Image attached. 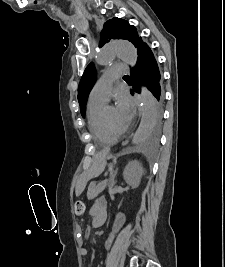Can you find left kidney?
Here are the masks:
<instances>
[{
	"label": "left kidney",
	"instance_id": "1",
	"mask_svg": "<svg viewBox=\"0 0 225 267\" xmlns=\"http://www.w3.org/2000/svg\"><path fill=\"white\" fill-rule=\"evenodd\" d=\"M142 175V165L136 160L129 162L123 172L125 182L134 189L139 186Z\"/></svg>",
	"mask_w": 225,
	"mask_h": 267
}]
</instances>
